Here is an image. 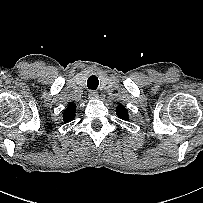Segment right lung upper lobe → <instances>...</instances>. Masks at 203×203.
<instances>
[{"mask_svg": "<svg viewBox=\"0 0 203 203\" xmlns=\"http://www.w3.org/2000/svg\"><path fill=\"white\" fill-rule=\"evenodd\" d=\"M75 113H76V109H75V105L71 104L64 112V121L65 122H70L71 120H73L75 118Z\"/></svg>", "mask_w": 203, "mask_h": 203, "instance_id": "right-lung-upper-lobe-1", "label": "right lung upper lobe"}]
</instances>
